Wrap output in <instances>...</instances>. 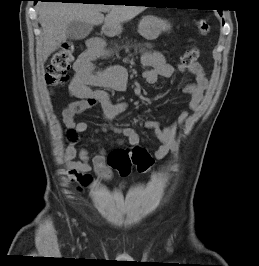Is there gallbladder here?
Masks as SVG:
<instances>
[{
	"label": "gallbladder",
	"mask_w": 259,
	"mask_h": 266,
	"mask_svg": "<svg viewBox=\"0 0 259 266\" xmlns=\"http://www.w3.org/2000/svg\"><path fill=\"white\" fill-rule=\"evenodd\" d=\"M93 30V25L82 22L73 21L66 29V36L71 40H81L86 38Z\"/></svg>",
	"instance_id": "obj_1"
}]
</instances>
